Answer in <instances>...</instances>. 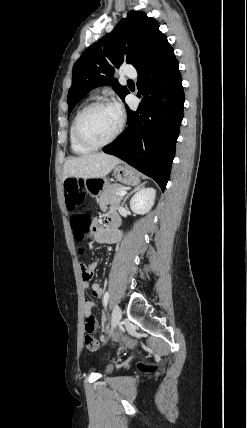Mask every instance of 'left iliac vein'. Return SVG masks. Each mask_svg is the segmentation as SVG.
<instances>
[{
  "label": "left iliac vein",
  "instance_id": "obj_1",
  "mask_svg": "<svg viewBox=\"0 0 247 428\" xmlns=\"http://www.w3.org/2000/svg\"><path fill=\"white\" fill-rule=\"evenodd\" d=\"M121 318H122V311L120 307L117 304H115L113 308L112 320H111V333L120 323Z\"/></svg>",
  "mask_w": 247,
  "mask_h": 428
}]
</instances>
